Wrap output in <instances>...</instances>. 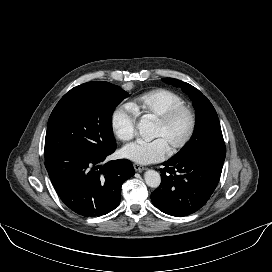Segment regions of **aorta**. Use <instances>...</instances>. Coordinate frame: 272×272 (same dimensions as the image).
Here are the masks:
<instances>
[{
  "mask_svg": "<svg viewBox=\"0 0 272 272\" xmlns=\"http://www.w3.org/2000/svg\"><path fill=\"white\" fill-rule=\"evenodd\" d=\"M138 129L141 137L146 140H152L154 135V124L148 119H141L138 123ZM144 180L149 187L157 188L161 183L160 174L155 170H148L144 174Z\"/></svg>",
  "mask_w": 272,
  "mask_h": 272,
  "instance_id": "1",
  "label": "aorta"
}]
</instances>
